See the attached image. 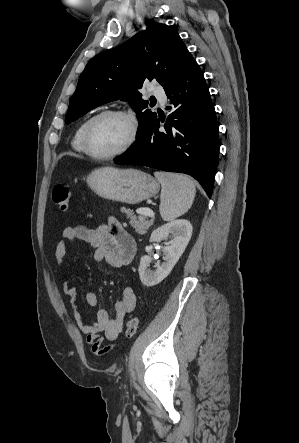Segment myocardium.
<instances>
[{"label":"myocardium","mask_w":299,"mask_h":443,"mask_svg":"<svg viewBox=\"0 0 299 443\" xmlns=\"http://www.w3.org/2000/svg\"><path fill=\"white\" fill-rule=\"evenodd\" d=\"M105 116H118L126 119L130 125V135L126 143L118 150L108 154H97L90 147L89 134L93 124L97 120ZM137 136H138V123L135 117L131 113L120 109H107L93 115L86 122L82 133V145L85 153L89 155L91 158L96 160H110L126 153L136 142Z\"/></svg>","instance_id":"f54148a6"}]
</instances>
